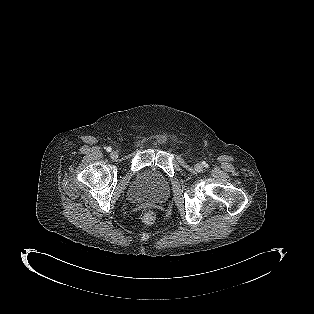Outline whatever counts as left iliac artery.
Wrapping results in <instances>:
<instances>
[{
  "mask_svg": "<svg viewBox=\"0 0 314 314\" xmlns=\"http://www.w3.org/2000/svg\"><path fill=\"white\" fill-rule=\"evenodd\" d=\"M204 166L206 167V166H207V164H206V163H204Z\"/></svg>",
  "mask_w": 314,
  "mask_h": 314,
  "instance_id": "44dca946",
  "label": "left iliac artery"
}]
</instances>
